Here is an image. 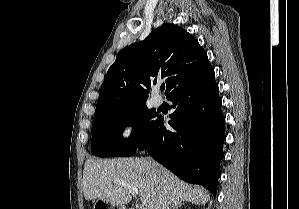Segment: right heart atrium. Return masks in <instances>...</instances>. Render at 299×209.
Segmentation results:
<instances>
[{
  "label": "right heart atrium",
  "mask_w": 299,
  "mask_h": 209,
  "mask_svg": "<svg viewBox=\"0 0 299 209\" xmlns=\"http://www.w3.org/2000/svg\"><path fill=\"white\" fill-rule=\"evenodd\" d=\"M136 132V122L131 119H124L118 124L115 135L121 140H129L135 136Z\"/></svg>",
  "instance_id": "right-heart-atrium-1"
}]
</instances>
